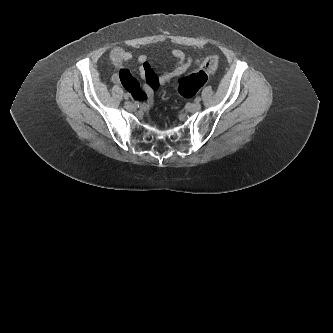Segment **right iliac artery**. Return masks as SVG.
I'll use <instances>...</instances> for the list:
<instances>
[{"label": "right iliac artery", "instance_id": "1", "mask_svg": "<svg viewBox=\"0 0 333 333\" xmlns=\"http://www.w3.org/2000/svg\"><path fill=\"white\" fill-rule=\"evenodd\" d=\"M124 98L125 99H128L129 98V95L127 93L124 94Z\"/></svg>", "mask_w": 333, "mask_h": 333}]
</instances>
